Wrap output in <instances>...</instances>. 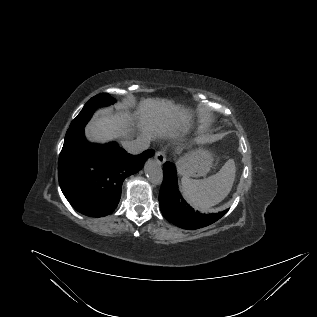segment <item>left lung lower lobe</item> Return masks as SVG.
Listing matches in <instances>:
<instances>
[{
	"label": "left lung lower lobe",
	"mask_w": 317,
	"mask_h": 317,
	"mask_svg": "<svg viewBox=\"0 0 317 317\" xmlns=\"http://www.w3.org/2000/svg\"><path fill=\"white\" fill-rule=\"evenodd\" d=\"M163 183L159 192L163 216L183 229H198L219 220L228 210L219 214H201L195 211L180 195L177 187L175 165L166 162L163 166Z\"/></svg>",
	"instance_id": "0a47b994"
}]
</instances>
